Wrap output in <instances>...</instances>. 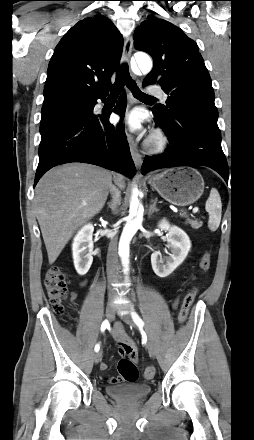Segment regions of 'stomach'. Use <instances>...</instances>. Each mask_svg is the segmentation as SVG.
<instances>
[{"instance_id": "stomach-1", "label": "stomach", "mask_w": 254, "mask_h": 440, "mask_svg": "<svg viewBox=\"0 0 254 440\" xmlns=\"http://www.w3.org/2000/svg\"><path fill=\"white\" fill-rule=\"evenodd\" d=\"M148 183L161 197L178 206L196 202L204 191L202 175L191 167L165 170L151 176Z\"/></svg>"}]
</instances>
